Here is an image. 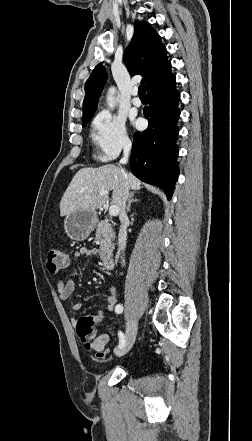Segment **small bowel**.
Returning <instances> with one entry per match:
<instances>
[{"label": "small bowel", "instance_id": "1", "mask_svg": "<svg viewBox=\"0 0 252 441\" xmlns=\"http://www.w3.org/2000/svg\"><path fill=\"white\" fill-rule=\"evenodd\" d=\"M96 254L97 251L95 249L84 247L78 250L77 252H75L74 258L78 259L81 256H94ZM74 289H75V283L72 278H68V279L59 278L57 280V291L60 299L62 300L68 299L74 292ZM116 304H117L116 288L114 286H111L105 300V309L99 312L104 313L105 311H113L118 305ZM81 307H82V303L76 302L71 306V309L73 311H77ZM88 341L90 342L91 348L95 352H100L105 350L106 345L110 341V336L107 334H102L97 336L96 328H95L94 331L89 335Z\"/></svg>", "mask_w": 252, "mask_h": 441}]
</instances>
